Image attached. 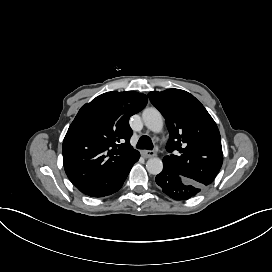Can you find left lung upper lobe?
Segmentation results:
<instances>
[{"mask_svg":"<svg viewBox=\"0 0 272 272\" xmlns=\"http://www.w3.org/2000/svg\"><path fill=\"white\" fill-rule=\"evenodd\" d=\"M162 113L170 133L163 165L202 186L212 183L223 163L218 127L204 106L190 93L168 89L148 94Z\"/></svg>","mask_w":272,"mask_h":272,"instance_id":"obj_1","label":"left lung upper lobe"}]
</instances>
